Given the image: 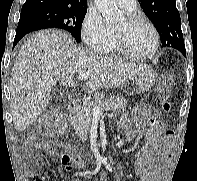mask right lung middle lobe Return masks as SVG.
Returning a JSON list of instances; mask_svg holds the SVG:
<instances>
[{
    "label": "right lung middle lobe",
    "instance_id": "obj_1",
    "mask_svg": "<svg viewBox=\"0 0 197 181\" xmlns=\"http://www.w3.org/2000/svg\"><path fill=\"white\" fill-rule=\"evenodd\" d=\"M87 8L70 9L50 6H34L22 9L20 17L33 18L41 21L51 28L67 30L75 40L81 41V25L85 18Z\"/></svg>",
    "mask_w": 197,
    "mask_h": 181
}]
</instances>
